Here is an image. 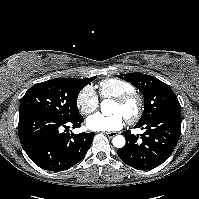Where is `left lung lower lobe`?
<instances>
[{"instance_id":"left-lung-lower-lobe-1","label":"left lung lower lobe","mask_w":199,"mask_h":199,"mask_svg":"<svg viewBox=\"0 0 199 199\" xmlns=\"http://www.w3.org/2000/svg\"><path fill=\"white\" fill-rule=\"evenodd\" d=\"M135 128L145 129L139 136L129 130L122 132L126 139L118 156L129 166L138 170H150L164 163L172 154L181 133L180 108L164 111L151 119L137 123Z\"/></svg>"}]
</instances>
